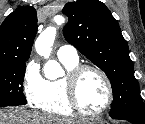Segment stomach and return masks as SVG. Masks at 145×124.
I'll list each match as a JSON object with an SVG mask.
<instances>
[{
    "label": "stomach",
    "instance_id": "0dacf381",
    "mask_svg": "<svg viewBox=\"0 0 145 124\" xmlns=\"http://www.w3.org/2000/svg\"><path fill=\"white\" fill-rule=\"evenodd\" d=\"M84 124H104V123L99 122V121H89V122L84 123Z\"/></svg>",
    "mask_w": 145,
    "mask_h": 124
}]
</instances>
